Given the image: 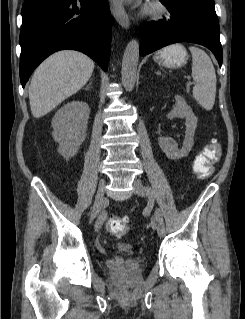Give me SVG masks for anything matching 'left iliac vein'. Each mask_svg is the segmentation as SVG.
<instances>
[{"instance_id": "4c4485c4", "label": "left iliac vein", "mask_w": 245, "mask_h": 319, "mask_svg": "<svg viewBox=\"0 0 245 319\" xmlns=\"http://www.w3.org/2000/svg\"><path fill=\"white\" fill-rule=\"evenodd\" d=\"M134 191L137 195L141 196V197H146V191H145V188H144V185L143 183L139 180V179H135L134 181ZM151 227L158 231V227H157V220L155 217H152L151 218ZM158 235L160 237L164 236L163 233H161L160 231H158Z\"/></svg>"}]
</instances>
